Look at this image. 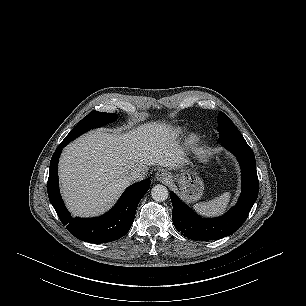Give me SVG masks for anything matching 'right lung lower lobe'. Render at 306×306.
<instances>
[{
    "mask_svg": "<svg viewBox=\"0 0 306 306\" xmlns=\"http://www.w3.org/2000/svg\"><path fill=\"white\" fill-rule=\"evenodd\" d=\"M68 143L63 140L54 152L47 183L49 200L59 219L71 234L82 241L106 243L121 238L129 231L137 206L149 189L150 180L145 179L128 187L114 208L100 217L73 218L61 198L57 173L59 156L62 148Z\"/></svg>",
    "mask_w": 306,
    "mask_h": 306,
    "instance_id": "right-lung-lower-lobe-1",
    "label": "right lung lower lobe"
}]
</instances>
